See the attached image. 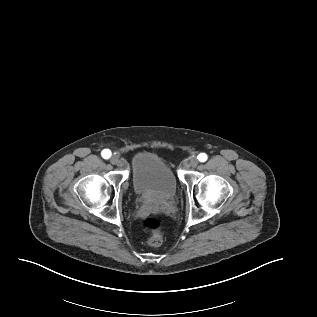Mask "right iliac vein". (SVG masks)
Listing matches in <instances>:
<instances>
[{
    "label": "right iliac vein",
    "instance_id": "63e3f726",
    "mask_svg": "<svg viewBox=\"0 0 317 317\" xmlns=\"http://www.w3.org/2000/svg\"><path fill=\"white\" fill-rule=\"evenodd\" d=\"M110 162H111V164H113V165H119V163H120L119 157L113 155V156L111 157V159H110Z\"/></svg>",
    "mask_w": 317,
    "mask_h": 317
}]
</instances>
